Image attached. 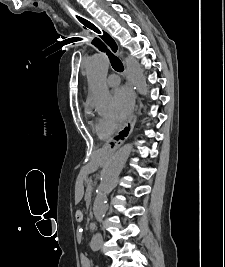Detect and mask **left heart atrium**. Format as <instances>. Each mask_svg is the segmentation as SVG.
Masks as SVG:
<instances>
[{
	"label": "left heart atrium",
	"mask_w": 225,
	"mask_h": 267,
	"mask_svg": "<svg viewBox=\"0 0 225 267\" xmlns=\"http://www.w3.org/2000/svg\"><path fill=\"white\" fill-rule=\"evenodd\" d=\"M115 115L118 120H124L131 112L133 107V95L127 87H119L114 95Z\"/></svg>",
	"instance_id": "obj_1"
}]
</instances>
